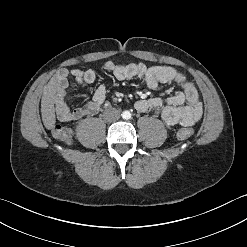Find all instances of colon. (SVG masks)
<instances>
[{"mask_svg":"<svg viewBox=\"0 0 247 247\" xmlns=\"http://www.w3.org/2000/svg\"><path fill=\"white\" fill-rule=\"evenodd\" d=\"M193 134L194 130L192 128H181L177 132V138L180 140H185L190 138ZM53 135L55 138L65 143H70L72 141V131L70 128L65 126H56L53 129Z\"/></svg>","mask_w":247,"mask_h":247,"instance_id":"1","label":"colon"}]
</instances>
